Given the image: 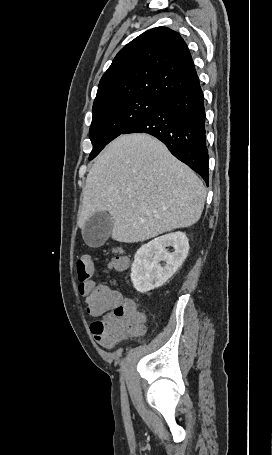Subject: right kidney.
I'll return each mask as SVG.
<instances>
[{"instance_id":"1","label":"right kidney","mask_w":272,"mask_h":455,"mask_svg":"<svg viewBox=\"0 0 272 455\" xmlns=\"http://www.w3.org/2000/svg\"><path fill=\"white\" fill-rule=\"evenodd\" d=\"M172 246L173 253L166 249ZM189 252V240L185 233L174 232L155 238L142 245L134 256L131 280L141 293L162 286L182 265ZM164 261V267L160 262Z\"/></svg>"}]
</instances>
